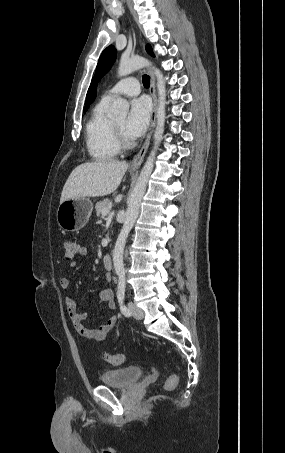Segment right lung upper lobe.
<instances>
[{
	"instance_id": "cb5924a9",
	"label": "right lung upper lobe",
	"mask_w": 285,
	"mask_h": 453,
	"mask_svg": "<svg viewBox=\"0 0 285 453\" xmlns=\"http://www.w3.org/2000/svg\"><path fill=\"white\" fill-rule=\"evenodd\" d=\"M94 87H95V81H94V79H92L91 85H90V87H89V89H88L87 96H86V104H87V102L89 101V99H90V97H91V95H92V92H93V90H94ZM85 111H86V107H85V109H84V112H85Z\"/></svg>"
}]
</instances>
